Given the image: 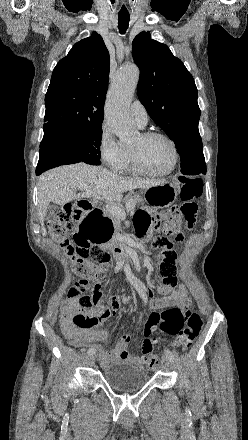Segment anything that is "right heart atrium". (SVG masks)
<instances>
[{"label": "right heart atrium", "mask_w": 248, "mask_h": 440, "mask_svg": "<svg viewBox=\"0 0 248 440\" xmlns=\"http://www.w3.org/2000/svg\"><path fill=\"white\" fill-rule=\"evenodd\" d=\"M99 155L111 170L118 171L126 159V149L122 146L107 124H102L99 137Z\"/></svg>", "instance_id": "d8ad5b80"}]
</instances>
